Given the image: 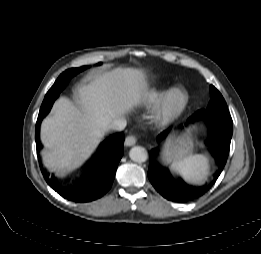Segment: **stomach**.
<instances>
[{
    "label": "stomach",
    "instance_id": "stomach-1",
    "mask_svg": "<svg viewBox=\"0 0 261 254\" xmlns=\"http://www.w3.org/2000/svg\"><path fill=\"white\" fill-rule=\"evenodd\" d=\"M193 132L194 127H189L180 135L172 137L164 149L165 159L168 161H181L191 156L194 147Z\"/></svg>",
    "mask_w": 261,
    "mask_h": 254
}]
</instances>
